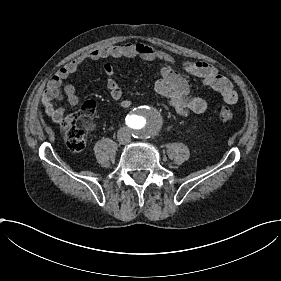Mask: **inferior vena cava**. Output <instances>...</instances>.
Wrapping results in <instances>:
<instances>
[{
  "label": "inferior vena cava",
  "mask_w": 281,
  "mask_h": 281,
  "mask_svg": "<svg viewBox=\"0 0 281 281\" xmlns=\"http://www.w3.org/2000/svg\"><path fill=\"white\" fill-rule=\"evenodd\" d=\"M117 138L119 143L121 144H128L131 141L130 134L125 128H120L117 133Z\"/></svg>",
  "instance_id": "602c4592"
}]
</instances>
